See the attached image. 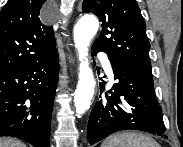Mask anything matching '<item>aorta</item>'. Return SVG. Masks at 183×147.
Listing matches in <instances>:
<instances>
[{
  "label": "aorta",
  "instance_id": "aorta-1",
  "mask_svg": "<svg viewBox=\"0 0 183 147\" xmlns=\"http://www.w3.org/2000/svg\"><path fill=\"white\" fill-rule=\"evenodd\" d=\"M99 22L93 15L82 16L74 27V42L80 61L79 81L74 93L77 116H81L90 107L96 81L88 62V47L98 31Z\"/></svg>",
  "mask_w": 183,
  "mask_h": 147
}]
</instances>
